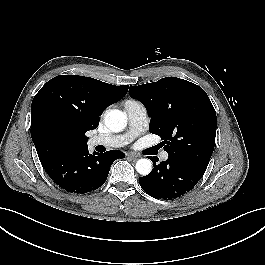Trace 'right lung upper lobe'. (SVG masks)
Here are the masks:
<instances>
[{
	"label": "right lung upper lobe",
	"mask_w": 265,
	"mask_h": 265,
	"mask_svg": "<svg viewBox=\"0 0 265 265\" xmlns=\"http://www.w3.org/2000/svg\"><path fill=\"white\" fill-rule=\"evenodd\" d=\"M128 88L77 75L49 80L31 105V137L39 159L43 135L49 129L65 136L68 152L87 148L85 133L98 126L102 112L120 100Z\"/></svg>",
	"instance_id": "right-lung-upper-lobe-1"
}]
</instances>
